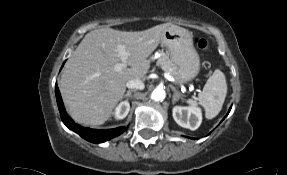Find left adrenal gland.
<instances>
[{
    "label": "left adrenal gland",
    "mask_w": 287,
    "mask_h": 175,
    "mask_svg": "<svg viewBox=\"0 0 287 175\" xmlns=\"http://www.w3.org/2000/svg\"><path fill=\"white\" fill-rule=\"evenodd\" d=\"M172 91L174 92L172 97V103L175 104L176 101H178L181 98V94L175 89L174 86L170 85Z\"/></svg>",
    "instance_id": "obj_1"
}]
</instances>
